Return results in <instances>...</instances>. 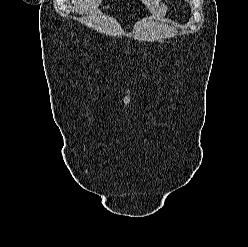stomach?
<instances>
[{
    "label": "stomach",
    "mask_w": 248,
    "mask_h": 247,
    "mask_svg": "<svg viewBox=\"0 0 248 247\" xmlns=\"http://www.w3.org/2000/svg\"><path fill=\"white\" fill-rule=\"evenodd\" d=\"M167 13V6L164 3H158L154 9L153 16L156 18H162Z\"/></svg>",
    "instance_id": "obj_1"
}]
</instances>
